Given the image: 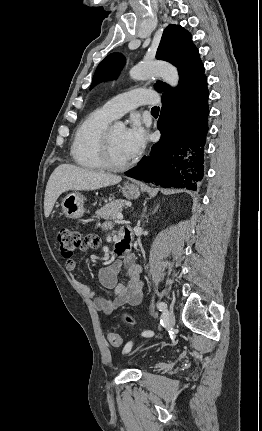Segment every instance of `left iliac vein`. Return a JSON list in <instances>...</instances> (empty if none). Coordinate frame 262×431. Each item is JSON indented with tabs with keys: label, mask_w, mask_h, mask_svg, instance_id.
Masks as SVG:
<instances>
[{
	"label": "left iliac vein",
	"mask_w": 262,
	"mask_h": 431,
	"mask_svg": "<svg viewBox=\"0 0 262 431\" xmlns=\"http://www.w3.org/2000/svg\"><path fill=\"white\" fill-rule=\"evenodd\" d=\"M166 324L168 329H172L175 325V316L171 309L165 311Z\"/></svg>",
	"instance_id": "obj_1"
}]
</instances>
